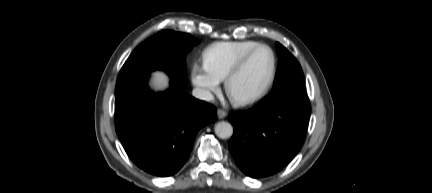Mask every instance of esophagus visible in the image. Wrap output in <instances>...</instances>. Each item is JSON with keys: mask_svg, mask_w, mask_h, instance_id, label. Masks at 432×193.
Returning a JSON list of instances; mask_svg holds the SVG:
<instances>
[{"mask_svg": "<svg viewBox=\"0 0 432 193\" xmlns=\"http://www.w3.org/2000/svg\"><path fill=\"white\" fill-rule=\"evenodd\" d=\"M217 116L219 119H223L227 116V113L222 109H218L217 110Z\"/></svg>", "mask_w": 432, "mask_h": 193, "instance_id": "esophagus-1", "label": "esophagus"}]
</instances>
